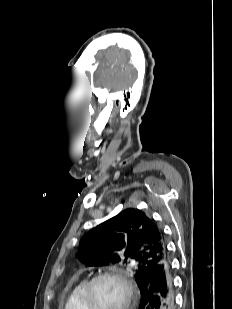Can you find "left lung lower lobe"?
Segmentation results:
<instances>
[{
  "instance_id": "0a47b994",
  "label": "left lung lower lobe",
  "mask_w": 232,
  "mask_h": 309,
  "mask_svg": "<svg viewBox=\"0 0 232 309\" xmlns=\"http://www.w3.org/2000/svg\"><path fill=\"white\" fill-rule=\"evenodd\" d=\"M139 289L138 309L175 308L173 272L168 256L148 271Z\"/></svg>"
}]
</instances>
